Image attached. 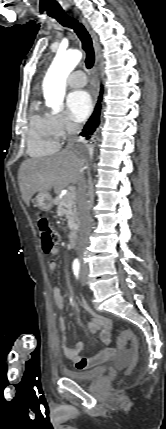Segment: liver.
Returning <instances> with one entry per match:
<instances>
[{"label": "liver", "instance_id": "1", "mask_svg": "<svg viewBox=\"0 0 166 429\" xmlns=\"http://www.w3.org/2000/svg\"><path fill=\"white\" fill-rule=\"evenodd\" d=\"M85 162L82 155L66 149L54 156L25 160L18 172L22 199L29 206L37 192H48L54 188L59 193L70 184H77Z\"/></svg>", "mask_w": 166, "mask_h": 429}]
</instances>
